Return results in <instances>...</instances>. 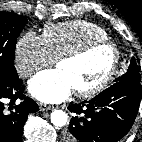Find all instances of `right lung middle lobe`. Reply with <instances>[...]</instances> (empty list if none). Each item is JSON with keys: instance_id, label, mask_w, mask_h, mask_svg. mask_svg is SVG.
Returning <instances> with one entry per match:
<instances>
[{"instance_id": "obj_1", "label": "right lung middle lobe", "mask_w": 142, "mask_h": 142, "mask_svg": "<svg viewBox=\"0 0 142 142\" xmlns=\"http://www.w3.org/2000/svg\"><path fill=\"white\" fill-rule=\"evenodd\" d=\"M27 18L11 12H0V82L17 78L14 66L17 37Z\"/></svg>"}]
</instances>
